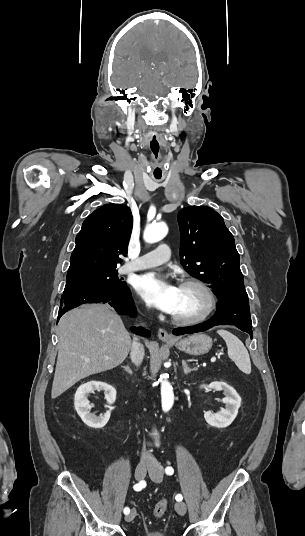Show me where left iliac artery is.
<instances>
[{"instance_id": "left-iliac-artery-1", "label": "left iliac artery", "mask_w": 305, "mask_h": 536, "mask_svg": "<svg viewBox=\"0 0 305 536\" xmlns=\"http://www.w3.org/2000/svg\"><path fill=\"white\" fill-rule=\"evenodd\" d=\"M165 472H166L167 475H172L173 472H174V470H173L172 467H167V468L165 469ZM175 499H176L177 501H182L183 497H182L181 494H177L176 497H175Z\"/></svg>"}]
</instances>
